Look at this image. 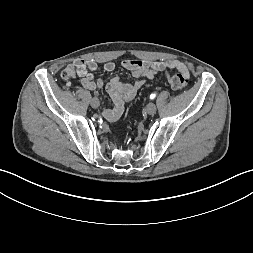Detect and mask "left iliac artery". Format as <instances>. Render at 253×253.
<instances>
[{"instance_id": "44dca946", "label": "left iliac artery", "mask_w": 253, "mask_h": 253, "mask_svg": "<svg viewBox=\"0 0 253 253\" xmlns=\"http://www.w3.org/2000/svg\"><path fill=\"white\" fill-rule=\"evenodd\" d=\"M155 97H156L155 94H151V95H150V98H151V99H154Z\"/></svg>"}]
</instances>
